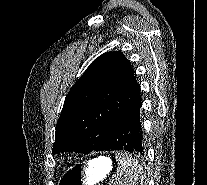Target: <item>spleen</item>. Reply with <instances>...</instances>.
<instances>
[{"mask_svg": "<svg viewBox=\"0 0 207 185\" xmlns=\"http://www.w3.org/2000/svg\"><path fill=\"white\" fill-rule=\"evenodd\" d=\"M121 156H130V151H121ZM116 164L119 169L109 178L110 185H141L146 179L145 167L137 159L118 158Z\"/></svg>", "mask_w": 207, "mask_h": 185, "instance_id": "3e777b00", "label": "spleen"}]
</instances>
